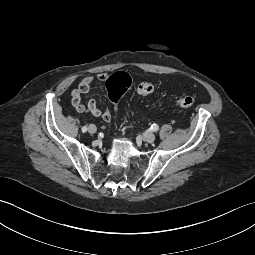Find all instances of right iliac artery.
<instances>
[{
    "mask_svg": "<svg viewBox=\"0 0 255 255\" xmlns=\"http://www.w3.org/2000/svg\"><path fill=\"white\" fill-rule=\"evenodd\" d=\"M87 129H88L87 126H83V127L81 128L82 132H86Z\"/></svg>",
    "mask_w": 255,
    "mask_h": 255,
    "instance_id": "obj_1",
    "label": "right iliac artery"
}]
</instances>
